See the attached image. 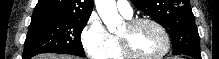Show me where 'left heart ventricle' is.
<instances>
[{"label":"left heart ventricle","mask_w":219,"mask_h":59,"mask_svg":"<svg viewBox=\"0 0 219 59\" xmlns=\"http://www.w3.org/2000/svg\"><path fill=\"white\" fill-rule=\"evenodd\" d=\"M118 36L126 39L133 52L140 56H153L165 46L162 34L151 24H141L135 28L126 24Z\"/></svg>","instance_id":"1"}]
</instances>
